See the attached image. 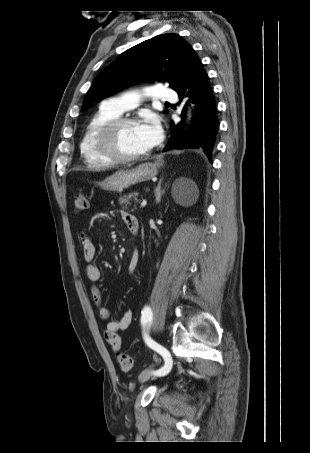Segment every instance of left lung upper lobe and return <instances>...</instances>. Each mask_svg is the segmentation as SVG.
I'll use <instances>...</instances> for the list:
<instances>
[{
  "mask_svg": "<svg viewBox=\"0 0 310 453\" xmlns=\"http://www.w3.org/2000/svg\"><path fill=\"white\" fill-rule=\"evenodd\" d=\"M193 52L190 44L175 33L158 35L126 50L95 78L82 110L143 80L167 81L174 89Z\"/></svg>",
  "mask_w": 310,
  "mask_h": 453,
  "instance_id": "obj_1",
  "label": "left lung upper lobe"
}]
</instances>
